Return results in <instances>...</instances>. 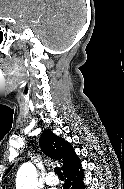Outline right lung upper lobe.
I'll use <instances>...</instances> for the list:
<instances>
[{
	"mask_svg": "<svg viewBox=\"0 0 124 189\" xmlns=\"http://www.w3.org/2000/svg\"><path fill=\"white\" fill-rule=\"evenodd\" d=\"M39 143L42 151L47 156L63 164L61 167L63 172L79 161L71 145L59 136L53 134L49 129L43 131ZM10 169L11 167L8 170Z\"/></svg>",
	"mask_w": 124,
	"mask_h": 189,
	"instance_id": "right-lung-upper-lobe-1",
	"label": "right lung upper lobe"
}]
</instances>
